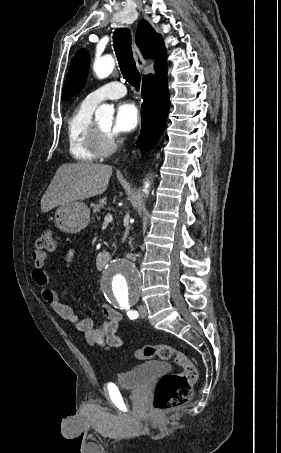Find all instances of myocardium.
<instances>
[{
  "instance_id": "obj_1",
  "label": "myocardium",
  "mask_w": 281,
  "mask_h": 453,
  "mask_svg": "<svg viewBox=\"0 0 281 453\" xmlns=\"http://www.w3.org/2000/svg\"><path fill=\"white\" fill-rule=\"evenodd\" d=\"M91 142L93 151L98 156H109L118 148L114 136L103 131L97 122L93 123Z\"/></svg>"
}]
</instances>
